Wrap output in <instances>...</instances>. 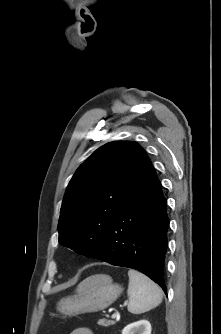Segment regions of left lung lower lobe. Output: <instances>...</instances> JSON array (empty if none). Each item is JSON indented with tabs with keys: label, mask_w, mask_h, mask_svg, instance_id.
I'll use <instances>...</instances> for the list:
<instances>
[{
	"label": "left lung lower lobe",
	"mask_w": 221,
	"mask_h": 334,
	"mask_svg": "<svg viewBox=\"0 0 221 334\" xmlns=\"http://www.w3.org/2000/svg\"><path fill=\"white\" fill-rule=\"evenodd\" d=\"M169 218L151 165L112 220L99 259L144 273L167 294L164 280Z\"/></svg>",
	"instance_id": "1"
}]
</instances>
